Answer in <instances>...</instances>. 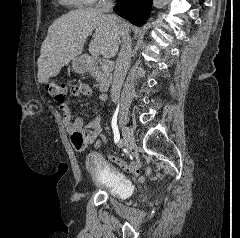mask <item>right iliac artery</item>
<instances>
[{
  "label": "right iliac artery",
  "instance_id": "1",
  "mask_svg": "<svg viewBox=\"0 0 240 238\" xmlns=\"http://www.w3.org/2000/svg\"><path fill=\"white\" fill-rule=\"evenodd\" d=\"M118 143H119V146H122L124 144V141L120 140Z\"/></svg>",
  "mask_w": 240,
  "mask_h": 238
}]
</instances>
